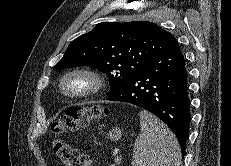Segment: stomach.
<instances>
[{"mask_svg": "<svg viewBox=\"0 0 231 166\" xmlns=\"http://www.w3.org/2000/svg\"><path fill=\"white\" fill-rule=\"evenodd\" d=\"M121 136H122V131L117 127L110 130L107 135L108 138L114 141L118 140Z\"/></svg>", "mask_w": 231, "mask_h": 166, "instance_id": "0dacf381", "label": "stomach"}]
</instances>
